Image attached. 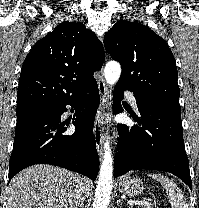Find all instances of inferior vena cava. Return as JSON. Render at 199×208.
Listing matches in <instances>:
<instances>
[{
    "label": "inferior vena cava",
    "mask_w": 199,
    "mask_h": 208,
    "mask_svg": "<svg viewBox=\"0 0 199 208\" xmlns=\"http://www.w3.org/2000/svg\"><path fill=\"white\" fill-rule=\"evenodd\" d=\"M85 202L84 190L81 183L75 186V190L69 201L70 208H83Z\"/></svg>",
    "instance_id": "602c4592"
}]
</instances>
